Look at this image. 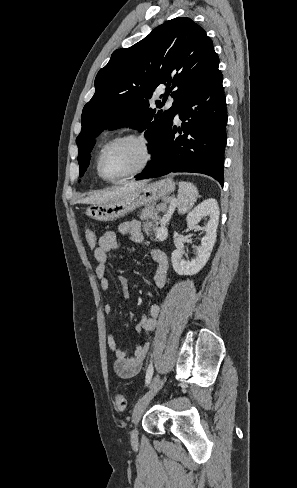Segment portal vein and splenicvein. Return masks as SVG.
Here are the masks:
<instances>
[{
    "mask_svg": "<svg viewBox=\"0 0 297 488\" xmlns=\"http://www.w3.org/2000/svg\"><path fill=\"white\" fill-rule=\"evenodd\" d=\"M174 209H175L174 206H170V209L165 213V215L162 218V224L163 225H165L170 220V218L174 212ZM163 230H164V226H162V228L159 229V232L163 231Z\"/></svg>",
    "mask_w": 297,
    "mask_h": 488,
    "instance_id": "18ae733b",
    "label": "portal vein and splenic vein"
}]
</instances>
